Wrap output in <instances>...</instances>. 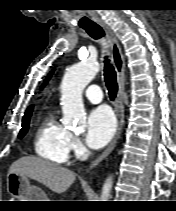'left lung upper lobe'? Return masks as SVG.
<instances>
[{
	"label": "left lung upper lobe",
	"instance_id": "5c2ea615",
	"mask_svg": "<svg viewBox=\"0 0 176 211\" xmlns=\"http://www.w3.org/2000/svg\"><path fill=\"white\" fill-rule=\"evenodd\" d=\"M52 73H53V71L52 72H50V74L46 77V79H45V83L43 84V86L46 84V82L49 80V78H50V76L52 75Z\"/></svg>",
	"mask_w": 176,
	"mask_h": 211
}]
</instances>
